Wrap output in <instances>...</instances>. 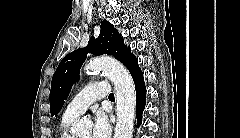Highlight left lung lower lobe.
<instances>
[{
	"label": "left lung lower lobe",
	"mask_w": 240,
	"mask_h": 138,
	"mask_svg": "<svg viewBox=\"0 0 240 138\" xmlns=\"http://www.w3.org/2000/svg\"><path fill=\"white\" fill-rule=\"evenodd\" d=\"M128 70L130 71L132 78L135 83L136 88V115H137V124L140 126L142 121V112L145 108V98H146V88L143 79V73L138 66L137 58L134 56L132 60L127 65Z\"/></svg>",
	"instance_id": "0a47b994"
}]
</instances>
